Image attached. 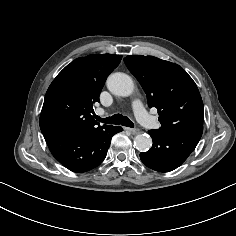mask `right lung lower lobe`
Segmentation results:
<instances>
[{
	"mask_svg": "<svg viewBox=\"0 0 236 236\" xmlns=\"http://www.w3.org/2000/svg\"><path fill=\"white\" fill-rule=\"evenodd\" d=\"M119 126L103 125L91 130L55 132L44 138L53 156L73 172H86L99 166L105 159Z\"/></svg>",
	"mask_w": 236,
	"mask_h": 236,
	"instance_id": "98d812e1",
	"label": "right lung lower lobe"
}]
</instances>
